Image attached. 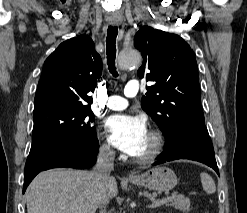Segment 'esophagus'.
<instances>
[{"label": "esophagus", "mask_w": 247, "mask_h": 213, "mask_svg": "<svg viewBox=\"0 0 247 213\" xmlns=\"http://www.w3.org/2000/svg\"><path fill=\"white\" fill-rule=\"evenodd\" d=\"M112 24H113V25H117V23H115V22H113ZM128 177H129V178H133V177H135V174L130 173V174H128Z\"/></svg>", "instance_id": "esophagus-1"}]
</instances>
